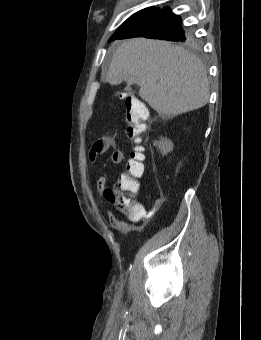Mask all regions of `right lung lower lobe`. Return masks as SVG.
Listing matches in <instances>:
<instances>
[{
	"label": "right lung lower lobe",
	"instance_id": "obj_1",
	"mask_svg": "<svg viewBox=\"0 0 261 340\" xmlns=\"http://www.w3.org/2000/svg\"><path fill=\"white\" fill-rule=\"evenodd\" d=\"M184 30L181 18L172 13L169 8L164 7L163 10L155 8L117 39L143 36L153 39L170 40L175 34Z\"/></svg>",
	"mask_w": 261,
	"mask_h": 340
}]
</instances>
